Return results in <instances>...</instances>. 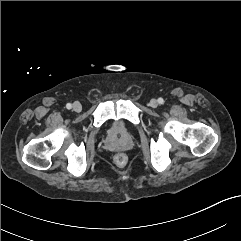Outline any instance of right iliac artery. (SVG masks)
<instances>
[{
  "instance_id": "obj_1",
  "label": "right iliac artery",
  "mask_w": 241,
  "mask_h": 241,
  "mask_svg": "<svg viewBox=\"0 0 241 241\" xmlns=\"http://www.w3.org/2000/svg\"><path fill=\"white\" fill-rule=\"evenodd\" d=\"M66 108H67V109H71V108H72L71 103H67V104H66Z\"/></svg>"
}]
</instances>
